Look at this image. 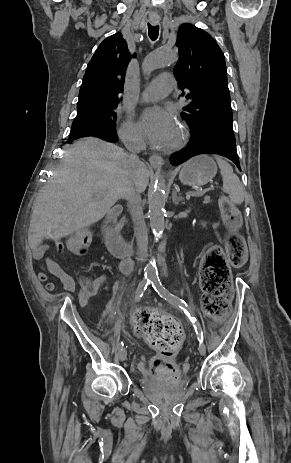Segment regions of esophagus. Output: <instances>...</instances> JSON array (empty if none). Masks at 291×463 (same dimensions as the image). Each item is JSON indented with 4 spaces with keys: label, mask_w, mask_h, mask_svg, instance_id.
<instances>
[{
    "label": "esophagus",
    "mask_w": 291,
    "mask_h": 463,
    "mask_svg": "<svg viewBox=\"0 0 291 463\" xmlns=\"http://www.w3.org/2000/svg\"><path fill=\"white\" fill-rule=\"evenodd\" d=\"M152 24H157L159 22V19L157 17L151 18ZM149 163L151 166L155 168H160L163 165V159L160 155L158 154H153L149 157Z\"/></svg>",
    "instance_id": "esophagus-1"
}]
</instances>
